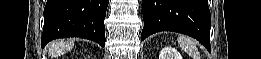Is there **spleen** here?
<instances>
[{"label": "spleen", "mask_w": 261, "mask_h": 59, "mask_svg": "<svg viewBox=\"0 0 261 59\" xmlns=\"http://www.w3.org/2000/svg\"><path fill=\"white\" fill-rule=\"evenodd\" d=\"M178 43L180 44L181 48L193 59H199L200 52L198 51V48L196 47V43L194 42V40L184 36H180L178 38Z\"/></svg>", "instance_id": "3e777b00"}]
</instances>
